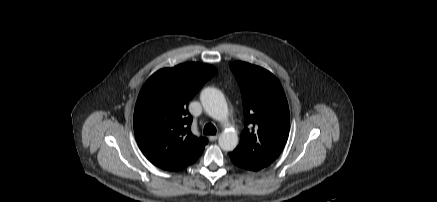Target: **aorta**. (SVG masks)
Returning a JSON list of instances; mask_svg holds the SVG:
<instances>
[{
    "label": "aorta",
    "instance_id": "aorta-1",
    "mask_svg": "<svg viewBox=\"0 0 437 202\" xmlns=\"http://www.w3.org/2000/svg\"><path fill=\"white\" fill-rule=\"evenodd\" d=\"M204 110L214 119L224 122L228 117V106L223 93L207 87L200 94ZM219 146L224 151H233L238 145V136L234 129H225L219 136Z\"/></svg>",
    "mask_w": 437,
    "mask_h": 202
}]
</instances>
